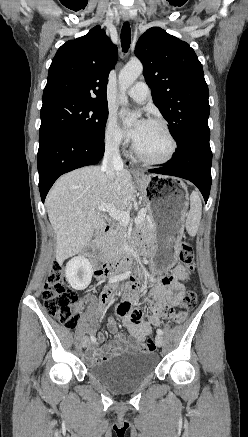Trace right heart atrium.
Segmentation results:
<instances>
[{
  "instance_id": "1",
  "label": "right heart atrium",
  "mask_w": 248,
  "mask_h": 437,
  "mask_svg": "<svg viewBox=\"0 0 248 437\" xmlns=\"http://www.w3.org/2000/svg\"><path fill=\"white\" fill-rule=\"evenodd\" d=\"M104 142L111 149L125 146L126 140L113 114H109L104 127Z\"/></svg>"
}]
</instances>
